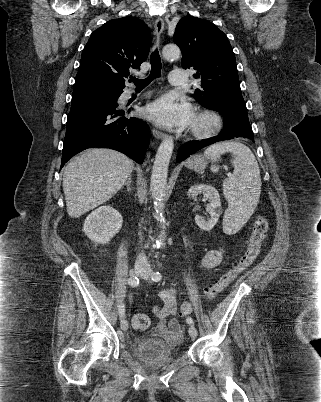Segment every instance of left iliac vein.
<instances>
[{"label": "left iliac vein", "instance_id": "obj_1", "mask_svg": "<svg viewBox=\"0 0 321 402\" xmlns=\"http://www.w3.org/2000/svg\"><path fill=\"white\" fill-rule=\"evenodd\" d=\"M141 277H142L143 279H145V280H149L150 277H151V269H146L145 272L141 275ZM188 332H189V335H190L192 338H195V337L197 336V329H196L193 325H191V326L189 327Z\"/></svg>", "mask_w": 321, "mask_h": 402}]
</instances>
